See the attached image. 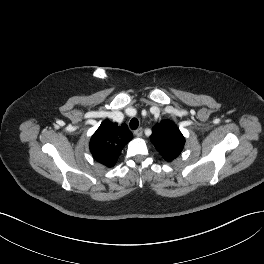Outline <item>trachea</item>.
<instances>
[{
  "mask_svg": "<svg viewBox=\"0 0 264 264\" xmlns=\"http://www.w3.org/2000/svg\"><path fill=\"white\" fill-rule=\"evenodd\" d=\"M139 126V121L137 118H132L130 121V127L131 129H137Z\"/></svg>",
  "mask_w": 264,
  "mask_h": 264,
  "instance_id": "3493384b",
  "label": "trachea"
}]
</instances>
